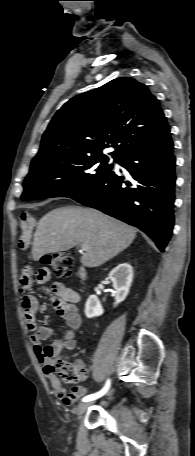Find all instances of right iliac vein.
Segmentation results:
<instances>
[{"instance_id": "63e3f726", "label": "right iliac vein", "mask_w": 195, "mask_h": 456, "mask_svg": "<svg viewBox=\"0 0 195 456\" xmlns=\"http://www.w3.org/2000/svg\"><path fill=\"white\" fill-rule=\"evenodd\" d=\"M90 404H91L90 402H84V403L79 404L76 409V414L77 415L83 414Z\"/></svg>"}]
</instances>
